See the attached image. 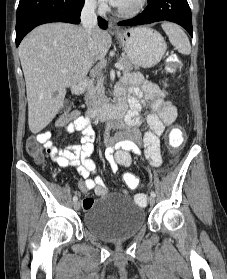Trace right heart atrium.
<instances>
[{"instance_id":"right-heart-atrium-1","label":"right heart atrium","mask_w":227,"mask_h":279,"mask_svg":"<svg viewBox=\"0 0 227 279\" xmlns=\"http://www.w3.org/2000/svg\"><path fill=\"white\" fill-rule=\"evenodd\" d=\"M85 3L90 8L102 11L104 9V0H85Z\"/></svg>"}]
</instances>
